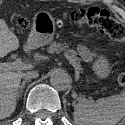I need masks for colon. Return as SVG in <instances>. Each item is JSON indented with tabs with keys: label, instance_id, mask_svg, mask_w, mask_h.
<instances>
[{
	"label": "colon",
	"instance_id": "colon-1",
	"mask_svg": "<svg viewBox=\"0 0 125 125\" xmlns=\"http://www.w3.org/2000/svg\"><path fill=\"white\" fill-rule=\"evenodd\" d=\"M64 20L75 25H89L96 27L99 31L106 33L111 39L119 43H125V26L103 9L94 7L88 10L76 9L64 16ZM62 23V21H59ZM15 30H25L29 27L26 18H18L12 24ZM118 83L125 86V70L118 76Z\"/></svg>",
	"mask_w": 125,
	"mask_h": 125
}]
</instances>
